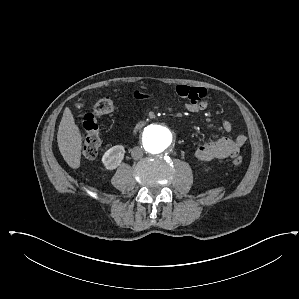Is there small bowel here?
Masks as SVG:
<instances>
[{"instance_id":"small-bowel-1","label":"small bowel","mask_w":299,"mask_h":299,"mask_svg":"<svg viewBox=\"0 0 299 299\" xmlns=\"http://www.w3.org/2000/svg\"><path fill=\"white\" fill-rule=\"evenodd\" d=\"M178 97L184 99L183 107L189 112H199L211 106V99L207 92L201 88H193L184 84L176 87ZM137 99H146L150 95L139 91L134 92ZM222 128L226 133H231L233 127L228 119L222 122ZM246 136L240 134L235 138L222 137L213 139L195 150V157L201 161H216L237 155L246 143Z\"/></svg>"}]
</instances>
